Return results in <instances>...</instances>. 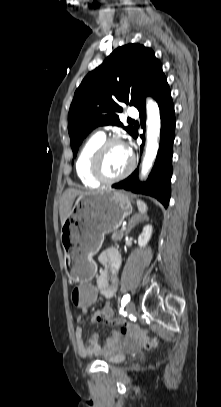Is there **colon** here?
<instances>
[{
	"mask_svg": "<svg viewBox=\"0 0 221 407\" xmlns=\"http://www.w3.org/2000/svg\"><path fill=\"white\" fill-rule=\"evenodd\" d=\"M72 298L71 305L76 306L78 311H90L91 306H94L95 300H97L98 294L95 291V283H73L72 286ZM100 316L103 322H111L115 324L114 307L112 305H104L102 307V314ZM132 335L144 349L150 350L157 346V341L151 339L147 334L139 330H132Z\"/></svg>",
	"mask_w": 221,
	"mask_h": 407,
	"instance_id": "colon-1",
	"label": "colon"
}]
</instances>
